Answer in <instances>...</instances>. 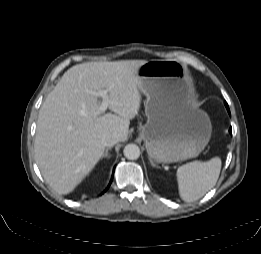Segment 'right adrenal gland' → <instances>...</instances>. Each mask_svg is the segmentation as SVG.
Returning <instances> with one entry per match:
<instances>
[{"label": "right adrenal gland", "instance_id": "1", "mask_svg": "<svg viewBox=\"0 0 261 254\" xmlns=\"http://www.w3.org/2000/svg\"><path fill=\"white\" fill-rule=\"evenodd\" d=\"M109 150H111V147H109V148L106 149V151H105V153L103 154L102 158H107V159L110 158Z\"/></svg>", "mask_w": 261, "mask_h": 254}]
</instances>
